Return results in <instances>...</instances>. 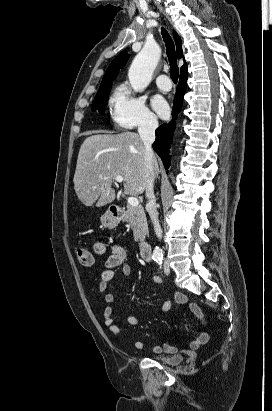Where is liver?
Returning <instances> with one entry per match:
<instances>
[{"label":"liver","mask_w":272,"mask_h":411,"mask_svg":"<svg viewBox=\"0 0 272 411\" xmlns=\"http://www.w3.org/2000/svg\"><path fill=\"white\" fill-rule=\"evenodd\" d=\"M144 144L137 133L95 134L80 147L74 174V190L85 206L97 207L115 199L112 184L117 175L125 178L124 193L137 196L147 186ZM158 170L153 158L154 176ZM103 177H107L106 180Z\"/></svg>","instance_id":"obj_1"}]
</instances>
